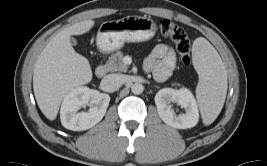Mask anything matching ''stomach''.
<instances>
[{
	"mask_svg": "<svg viewBox=\"0 0 267 166\" xmlns=\"http://www.w3.org/2000/svg\"><path fill=\"white\" fill-rule=\"evenodd\" d=\"M156 23L147 17L127 16L120 20L107 21L98 31L96 44L103 53L123 47L125 42H143L156 32Z\"/></svg>",
	"mask_w": 267,
	"mask_h": 166,
	"instance_id": "stomach-1",
	"label": "stomach"
}]
</instances>
